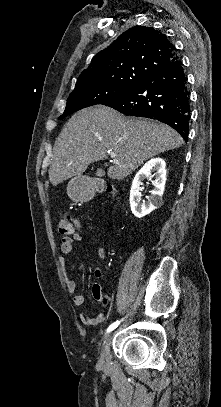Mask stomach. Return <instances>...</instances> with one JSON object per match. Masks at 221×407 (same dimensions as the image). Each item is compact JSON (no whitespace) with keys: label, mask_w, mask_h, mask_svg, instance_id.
<instances>
[{"label":"stomach","mask_w":221,"mask_h":407,"mask_svg":"<svg viewBox=\"0 0 221 407\" xmlns=\"http://www.w3.org/2000/svg\"><path fill=\"white\" fill-rule=\"evenodd\" d=\"M67 194L74 202H86L92 195L90 188L81 176H76L69 181Z\"/></svg>","instance_id":"1"}]
</instances>
